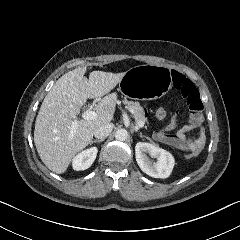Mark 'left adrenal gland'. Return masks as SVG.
<instances>
[{"mask_svg":"<svg viewBox=\"0 0 240 240\" xmlns=\"http://www.w3.org/2000/svg\"><path fill=\"white\" fill-rule=\"evenodd\" d=\"M140 137H141V138H145V136H143L142 134H140Z\"/></svg>","mask_w":240,"mask_h":240,"instance_id":"1","label":"left adrenal gland"}]
</instances>
